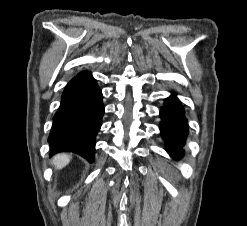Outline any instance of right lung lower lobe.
<instances>
[{
    "label": "right lung lower lobe",
    "instance_id": "right-lung-lower-lobe-1",
    "mask_svg": "<svg viewBox=\"0 0 247 226\" xmlns=\"http://www.w3.org/2000/svg\"><path fill=\"white\" fill-rule=\"evenodd\" d=\"M104 113L102 93L90 72L83 71L66 85L48 138L50 153L74 152L94 160L95 136Z\"/></svg>",
    "mask_w": 247,
    "mask_h": 226
}]
</instances>
